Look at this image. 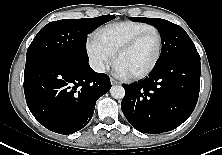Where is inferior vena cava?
I'll return each instance as SVG.
<instances>
[{"instance_id":"602c4592","label":"inferior vena cava","mask_w":222,"mask_h":155,"mask_svg":"<svg viewBox=\"0 0 222 155\" xmlns=\"http://www.w3.org/2000/svg\"><path fill=\"white\" fill-rule=\"evenodd\" d=\"M90 66L96 72H99V73L105 72V65L101 60H96V59L91 60Z\"/></svg>"}]
</instances>
